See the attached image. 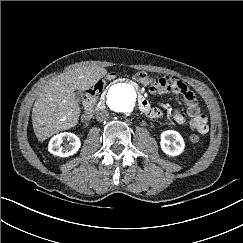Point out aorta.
I'll use <instances>...</instances> for the list:
<instances>
[{
	"label": "aorta",
	"instance_id": "aorta-1",
	"mask_svg": "<svg viewBox=\"0 0 243 243\" xmlns=\"http://www.w3.org/2000/svg\"><path fill=\"white\" fill-rule=\"evenodd\" d=\"M136 102V92L132 85L117 83L106 94V103L115 112L129 114Z\"/></svg>",
	"mask_w": 243,
	"mask_h": 243
}]
</instances>
